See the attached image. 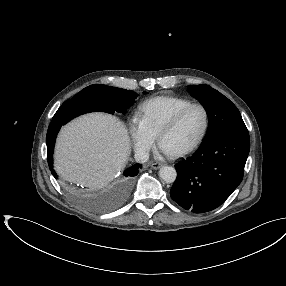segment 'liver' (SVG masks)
<instances>
[{"label":"liver","mask_w":286,"mask_h":286,"mask_svg":"<svg viewBox=\"0 0 286 286\" xmlns=\"http://www.w3.org/2000/svg\"><path fill=\"white\" fill-rule=\"evenodd\" d=\"M127 129L114 116L90 113L65 125L57 138L55 169L69 182L99 188L127 164Z\"/></svg>","instance_id":"obj_1"}]
</instances>
